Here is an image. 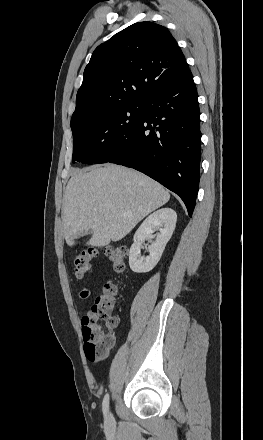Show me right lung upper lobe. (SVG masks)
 I'll list each match as a JSON object with an SVG mask.
<instances>
[{
    "label": "right lung upper lobe",
    "instance_id": "right-lung-upper-lobe-1",
    "mask_svg": "<svg viewBox=\"0 0 263 440\" xmlns=\"http://www.w3.org/2000/svg\"><path fill=\"white\" fill-rule=\"evenodd\" d=\"M188 71L183 53L165 27L149 21L132 24L93 52L76 96L71 128L103 109L143 103Z\"/></svg>",
    "mask_w": 263,
    "mask_h": 440
}]
</instances>
